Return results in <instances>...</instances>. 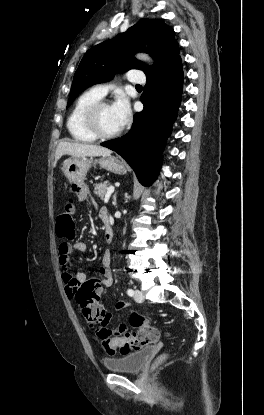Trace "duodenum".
Returning <instances> with one entry per match:
<instances>
[{
    "label": "duodenum",
    "mask_w": 264,
    "mask_h": 415,
    "mask_svg": "<svg viewBox=\"0 0 264 415\" xmlns=\"http://www.w3.org/2000/svg\"><path fill=\"white\" fill-rule=\"evenodd\" d=\"M105 238H106L107 243H112L113 238H114V233H113V230L111 228L110 218L106 219Z\"/></svg>",
    "instance_id": "410a0bca"
}]
</instances>
